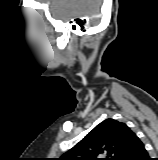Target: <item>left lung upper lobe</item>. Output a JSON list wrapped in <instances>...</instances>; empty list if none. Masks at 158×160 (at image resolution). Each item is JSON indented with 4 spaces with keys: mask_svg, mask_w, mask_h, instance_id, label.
<instances>
[{
    "mask_svg": "<svg viewBox=\"0 0 158 160\" xmlns=\"http://www.w3.org/2000/svg\"><path fill=\"white\" fill-rule=\"evenodd\" d=\"M135 136L125 123L107 119L58 160H125Z\"/></svg>",
    "mask_w": 158,
    "mask_h": 160,
    "instance_id": "obj_1",
    "label": "left lung upper lobe"
}]
</instances>
